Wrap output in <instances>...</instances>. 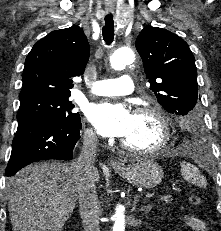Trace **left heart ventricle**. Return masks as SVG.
Segmentation results:
<instances>
[{
	"mask_svg": "<svg viewBox=\"0 0 221 231\" xmlns=\"http://www.w3.org/2000/svg\"><path fill=\"white\" fill-rule=\"evenodd\" d=\"M161 133L158 122L152 116L133 115L131 129L122 140L135 147L149 148L158 144Z\"/></svg>",
	"mask_w": 221,
	"mask_h": 231,
	"instance_id": "1",
	"label": "left heart ventricle"
}]
</instances>
